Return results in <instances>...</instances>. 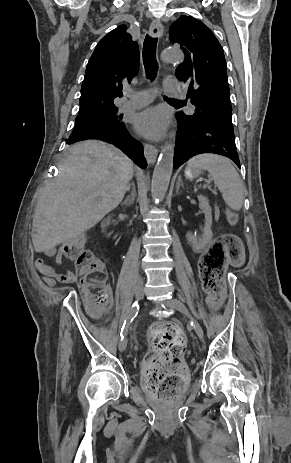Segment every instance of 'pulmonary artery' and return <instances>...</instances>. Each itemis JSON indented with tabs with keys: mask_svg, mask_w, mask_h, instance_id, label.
I'll return each instance as SVG.
<instances>
[{
	"mask_svg": "<svg viewBox=\"0 0 291 463\" xmlns=\"http://www.w3.org/2000/svg\"><path fill=\"white\" fill-rule=\"evenodd\" d=\"M165 91L174 97L177 98H185L186 92L181 89L180 83L171 77H167L165 79ZM155 95L154 89H146L136 93H127L126 96L128 100L124 101L122 104V108L126 110H133L140 107H143L150 103ZM191 109L194 106L191 104Z\"/></svg>",
	"mask_w": 291,
	"mask_h": 463,
	"instance_id": "1",
	"label": "pulmonary artery"
}]
</instances>
